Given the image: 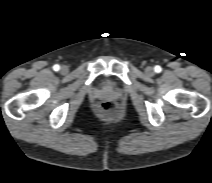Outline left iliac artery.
Here are the masks:
<instances>
[{"mask_svg": "<svg viewBox=\"0 0 212 183\" xmlns=\"http://www.w3.org/2000/svg\"><path fill=\"white\" fill-rule=\"evenodd\" d=\"M154 70H155L156 73H160L162 68L157 65V66H155Z\"/></svg>", "mask_w": 212, "mask_h": 183, "instance_id": "44dca946", "label": "left iliac artery"}]
</instances>
